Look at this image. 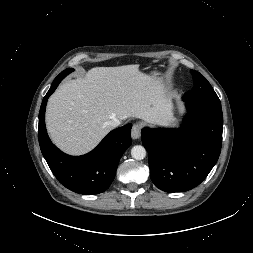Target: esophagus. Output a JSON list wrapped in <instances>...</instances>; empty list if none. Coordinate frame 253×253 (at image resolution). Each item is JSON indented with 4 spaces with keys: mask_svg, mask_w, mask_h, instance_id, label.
Returning <instances> with one entry per match:
<instances>
[{
    "mask_svg": "<svg viewBox=\"0 0 253 253\" xmlns=\"http://www.w3.org/2000/svg\"><path fill=\"white\" fill-rule=\"evenodd\" d=\"M141 135V126L139 124H134L131 130V136L133 139H138Z\"/></svg>",
    "mask_w": 253,
    "mask_h": 253,
    "instance_id": "1",
    "label": "esophagus"
}]
</instances>
